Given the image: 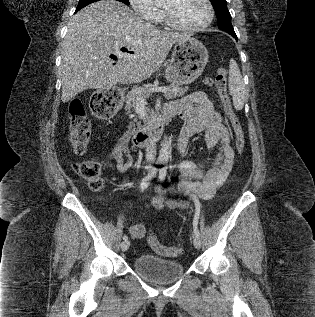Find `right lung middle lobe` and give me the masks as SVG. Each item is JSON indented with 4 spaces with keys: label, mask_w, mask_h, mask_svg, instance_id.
<instances>
[{
    "label": "right lung middle lobe",
    "mask_w": 315,
    "mask_h": 317,
    "mask_svg": "<svg viewBox=\"0 0 315 317\" xmlns=\"http://www.w3.org/2000/svg\"><path fill=\"white\" fill-rule=\"evenodd\" d=\"M96 1H99V0H80L76 11H78V10L82 9L83 7L89 5V4L93 3V2H96ZM116 1L123 2L126 5L130 4L129 0H116Z\"/></svg>",
    "instance_id": "right-lung-middle-lobe-1"
}]
</instances>
